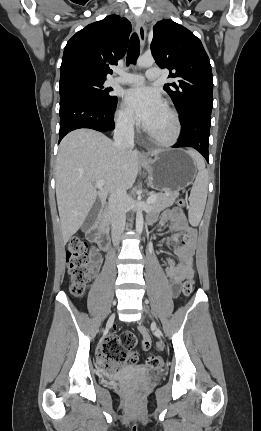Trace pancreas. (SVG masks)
Wrapping results in <instances>:
<instances>
[{
  "instance_id": "cf45deb5",
  "label": "pancreas",
  "mask_w": 261,
  "mask_h": 431,
  "mask_svg": "<svg viewBox=\"0 0 261 431\" xmlns=\"http://www.w3.org/2000/svg\"><path fill=\"white\" fill-rule=\"evenodd\" d=\"M178 195V192L174 191L155 194L156 200L150 204V209L157 212L162 211L172 206Z\"/></svg>"
}]
</instances>
